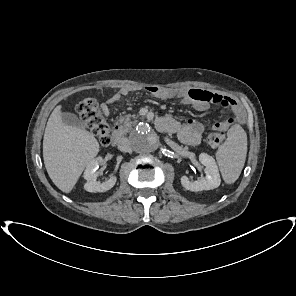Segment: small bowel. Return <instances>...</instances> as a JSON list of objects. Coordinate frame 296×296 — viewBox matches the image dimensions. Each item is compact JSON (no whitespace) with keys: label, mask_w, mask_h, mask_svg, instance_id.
<instances>
[{"label":"small bowel","mask_w":296,"mask_h":296,"mask_svg":"<svg viewBox=\"0 0 296 296\" xmlns=\"http://www.w3.org/2000/svg\"><path fill=\"white\" fill-rule=\"evenodd\" d=\"M147 90L158 96L161 99H178L180 103L189 105L197 111L207 110L212 104H217L222 107L228 108L233 112V116L224 120L213 123L210 127L195 119H188L184 124L179 123L170 116H164L160 120L171 123L172 128L170 132H177L179 139L188 145H197L201 142L202 136L208 128L213 130H225L236 123H243L245 119L244 111L239 103L225 95L214 93L208 90L199 88H157L150 86ZM132 89L122 88L119 92L110 96L106 103L102 105L103 112L109 113V104L121 100L124 96H127Z\"/></svg>","instance_id":"c3829d8e"}]
</instances>
